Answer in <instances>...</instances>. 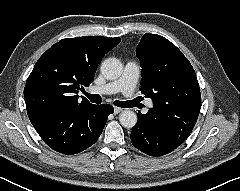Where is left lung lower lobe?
<instances>
[{"label": "left lung lower lobe", "instance_id": "obj_1", "mask_svg": "<svg viewBox=\"0 0 240 191\" xmlns=\"http://www.w3.org/2000/svg\"><path fill=\"white\" fill-rule=\"evenodd\" d=\"M138 122L132 128L131 142L150 156H162L181 145L198 119L195 109L179 111L175 116L158 115L152 109L146 114L138 111Z\"/></svg>", "mask_w": 240, "mask_h": 191}]
</instances>
